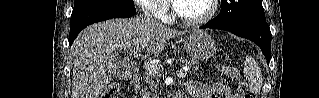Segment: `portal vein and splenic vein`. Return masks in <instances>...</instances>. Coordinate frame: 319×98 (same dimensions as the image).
Returning <instances> with one entry per match:
<instances>
[{
	"label": "portal vein and splenic vein",
	"instance_id": "18ae733b",
	"mask_svg": "<svg viewBox=\"0 0 319 98\" xmlns=\"http://www.w3.org/2000/svg\"><path fill=\"white\" fill-rule=\"evenodd\" d=\"M142 47L141 46H137L136 48L130 50L129 54L133 55L134 57L138 56V54L141 52ZM144 68L150 73V74H154L157 75L159 74L160 68L157 65H153V64H149L148 62L144 63ZM188 70V67H184L183 70H179L177 71V76L179 78H184L186 76V71Z\"/></svg>",
	"mask_w": 319,
	"mask_h": 98
}]
</instances>
